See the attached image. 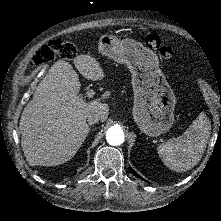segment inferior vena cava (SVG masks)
<instances>
[{"label": "inferior vena cava", "mask_w": 221, "mask_h": 221, "mask_svg": "<svg viewBox=\"0 0 221 221\" xmlns=\"http://www.w3.org/2000/svg\"><path fill=\"white\" fill-rule=\"evenodd\" d=\"M101 120V114L100 113H90L87 116V122L89 125H93L98 123Z\"/></svg>", "instance_id": "602c4592"}]
</instances>
